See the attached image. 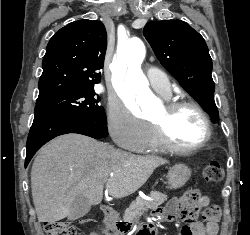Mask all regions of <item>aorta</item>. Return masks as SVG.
Here are the masks:
<instances>
[{
  "label": "aorta",
  "instance_id": "762f6f07",
  "mask_svg": "<svg viewBox=\"0 0 250 235\" xmlns=\"http://www.w3.org/2000/svg\"><path fill=\"white\" fill-rule=\"evenodd\" d=\"M146 49L139 39L129 41L117 54L111 65L112 80L117 92L128 106L139 104L148 115L155 103V97L148 88V81L140 66Z\"/></svg>",
  "mask_w": 250,
  "mask_h": 235
}]
</instances>
